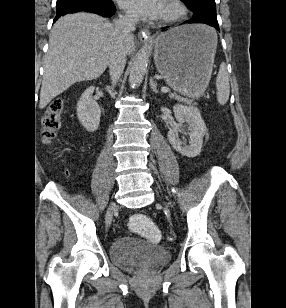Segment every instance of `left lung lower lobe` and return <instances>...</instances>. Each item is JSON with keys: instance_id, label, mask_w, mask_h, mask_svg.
Returning <instances> with one entry per match:
<instances>
[{"instance_id": "obj_1", "label": "left lung lower lobe", "mask_w": 286, "mask_h": 308, "mask_svg": "<svg viewBox=\"0 0 286 308\" xmlns=\"http://www.w3.org/2000/svg\"><path fill=\"white\" fill-rule=\"evenodd\" d=\"M184 23L208 24L219 30L216 7H201L193 11V17ZM165 28H163L164 30ZM220 31V30H219Z\"/></svg>"}]
</instances>
